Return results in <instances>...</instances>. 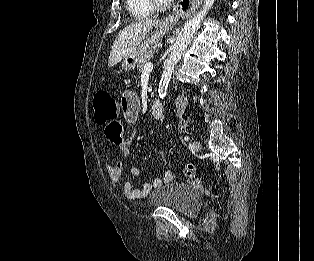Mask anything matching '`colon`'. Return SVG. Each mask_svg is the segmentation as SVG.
Segmentation results:
<instances>
[{
	"instance_id": "1",
	"label": "colon",
	"mask_w": 314,
	"mask_h": 261,
	"mask_svg": "<svg viewBox=\"0 0 314 261\" xmlns=\"http://www.w3.org/2000/svg\"><path fill=\"white\" fill-rule=\"evenodd\" d=\"M95 110V121L99 125H104L106 120H118L119 112L116 100L104 90L96 92L93 100ZM185 173L188 177L195 176V168L193 165H188L185 168Z\"/></svg>"
}]
</instances>
